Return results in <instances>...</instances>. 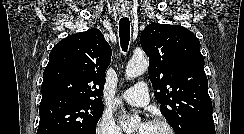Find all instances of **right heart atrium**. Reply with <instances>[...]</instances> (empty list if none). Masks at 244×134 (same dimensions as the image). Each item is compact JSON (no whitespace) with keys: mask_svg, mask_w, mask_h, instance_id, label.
<instances>
[{"mask_svg":"<svg viewBox=\"0 0 244 134\" xmlns=\"http://www.w3.org/2000/svg\"><path fill=\"white\" fill-rule=\"evenodd\" d=\"M95 134H123V132L110 114L103 113L96 124Z\"/></svg>","mask_w":244,"mask_h":134,"instance_id":"1","label":"right heart atrium"}]
</instances>
